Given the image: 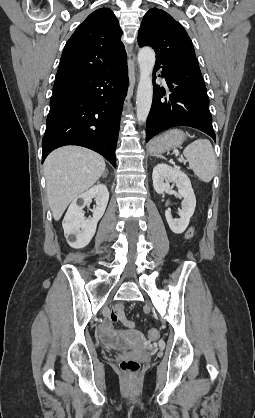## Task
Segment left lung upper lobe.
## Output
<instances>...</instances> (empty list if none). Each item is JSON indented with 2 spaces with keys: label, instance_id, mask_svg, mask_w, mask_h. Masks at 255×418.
I'll list each match as a JSON object with an SVG mask.
<instances>
[{
  "label": "left lung upper lobe",
  "instance_id": "obj_1",
  "mask_svg": "<svg viewBox=\"0 0 255 418\" xmlns=\"http://www.w3.org/2000/svg\"><path fill=\"white\" fill-rule=\"evenodd\" d=\"M140 47L151 46L156 61L196 58L191 39L184 28L163 10L150 9L138 32Z\"/></svg>",
  "mask_w": 255,
  "mask_h": 418
}]
</instances>
